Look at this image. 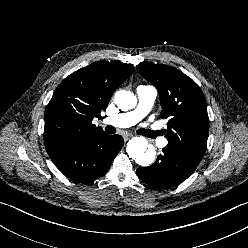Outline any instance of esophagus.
I'll list each match as a JSON object with an SVG mask.
<instances>
[{
	"mask_svg": "<svg viewBox=\"0 0 248 248\" xmlns=\"http://www.w3.org/2000/svg\"><path fill=\"white\" fill-rule=\"evenodd\" d=\"M131 137H132V134H125V135L123 136L124 141H128Z\"/></svg>",
	"mask_w": 248,
	"mask_h": 248,
	"instance_id": "34e87169",
	"label": "esophagus"
}]
</instances>
